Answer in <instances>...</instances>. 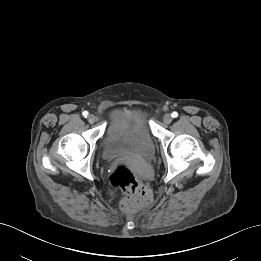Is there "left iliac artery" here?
Here are the masks:
<instances>
[{
  "label": "left iliac artery",
  "instance_id": "left-iliac-artery-1",
  "mask_svg": "<svg viewBox=\"0 0 261 261\" xmlns=\"http://www.w3.org/2000/svg\"><path fill=\"white\" fill-rule=\"evenodd\" d=\"M171 116H172L173 118H176V117L178 116V113H177L176 111H174V112H172Z\"/></svg>",
  "mask_w": 261,
  "mask_h": 261
}]
</instances>
